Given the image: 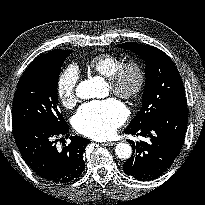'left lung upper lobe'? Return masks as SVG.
Here are the masks:
<instances>
[{
    "label": "left lung upper lobe",
    "mask_w": 205,
    "mask_h": 205,
    "mask_svg": "<svg viewBox=\"0 0 205 205\" xmlns=\"http://www.w3.org/2000/svg\"><path fill=\"white\" fill-rule=\"evenodd\" d=\"M117 46L135 52L146 62L142 107L127 128L139 127L166 109L186 104L180 74L168 55L156 47L136 42Z\"/></svg>",
    "instance_id": "5c2ea615"
}]
</instances>
